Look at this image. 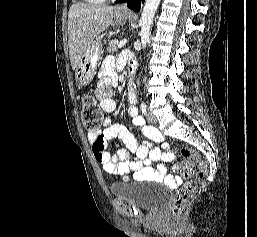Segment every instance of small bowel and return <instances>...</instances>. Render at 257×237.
Returning <instances> with one entry per match:
<instances>
[{"label": "small bowel", "instance_id": "small-bowel-1", "mask_svg": "<svg viewBox=\"0 0 257 237\" xmlns=\"http://www.w3.org/2000/svg\"><path fill=\"white\" fill-rule=\"evenodd\" d=\"M115 85L116 64L112 57H108L102 64L95 90V97L100 101L101 108L106 113H113L117 108L116 101L110 97ZM129 114L133 118V123L142 129L144 135L159 143L160 146L154 147L149 142L138 144L124 125L115 124L110 118H106L103 121V129L87 134L93 155L102 165L103 170L114 178L132 172L136 180L165 181L172 186L180 184L181 178L167 174L164 165H158L156 168L150 167L152 162L159 159L165 161L173 159V153L163 135L158 130L144 124L143 118L138 116L134 105L129 107ZM116 138H119L125 147L112 154L108 146Z\"/></svg>", "mask_w": 257, "mask_h": 237}]
</instances>
